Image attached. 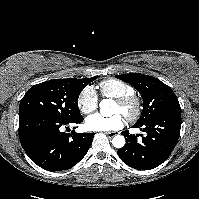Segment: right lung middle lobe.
Listing matches in <instances>:
<instances>
[{"label": "right lung middle lobe", "instance_id": "1", "mask_svg": "<svg viewBox=\"0 0 199 199\" xmlns=\"http://www.w3.org/2000/svg\"><path fill=\"white\" fill-rule=\"evenodd\" d=\"M96 78L54 79L32 86L20 102L19 117L34 114L66 122L82 117L79 94Z\"/></svg>", "mask_w": 199, "mask_h": 199}]
</instances>
